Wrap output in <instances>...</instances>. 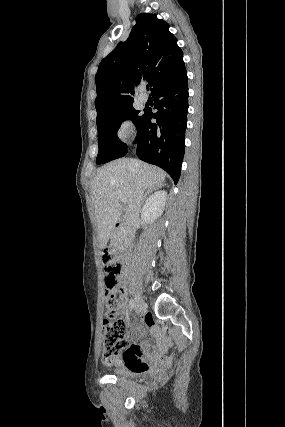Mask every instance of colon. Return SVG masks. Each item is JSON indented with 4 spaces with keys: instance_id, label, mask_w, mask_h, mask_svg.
<instances>
[{
    "instance_id": "obj_1",
    "label": "colon",
    "mask_w": 285,
    "mask_h": 427,
    "mask_svg": "<svg viewBox=\"0 0 285 427\" xmlns=\"http://www.w3.org/2000/svg\"><path fill=\"white\" fill-rule=\"evenodd\" d=\"M102 264L107 286L105 295L106 318L103 321L102 359L105 365H113L122 353L130 351L132 343L125 337L127 323L118 317L122 299L117 285L122 265L107 251L102 254ZM144 366L142 362L136 364L138 369H143Z\"/></svg>"
}]
</instances>
